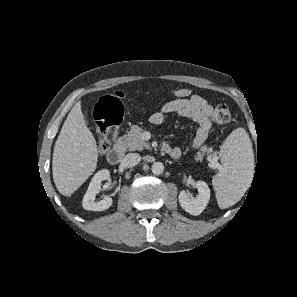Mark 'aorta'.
Here are the masks:
<instances>
[{"label": "aorta", "instance_id": "obj_1", "mask_svg": "<svg viewBox=\"0 0 297 297\" xmlns=\"http://www.w3.org/2000/svg\"><path fill=\"white\" fill-rule=\"evenodd\" d=\"M151 170L153 174L160 175L164 171V165L162 162H155L153 163Z\"/></svg>", "mask_w": 297, "mask_h": 297}]
</instances>
